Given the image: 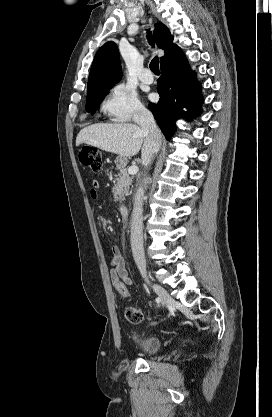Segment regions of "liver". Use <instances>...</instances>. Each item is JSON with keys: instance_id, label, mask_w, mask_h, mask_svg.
I'll list each match as a JSON object with an SVG mask.
<instances>
[{"instance_id": "6515ba94", "label": "liver", "mask_w": 272, "mask_h": 417, "mask_svg": "<svg viewBox=\"0 0 272 417\" xmlns=\"http://www.w3.org/2000/svg\"><path fill=\"white\" fill-rule=\"evenodd\" d=\"M85 143L123 157L136 155L141 147L142 164L147 166L153 157L156 140L140 126L131 123L94 124L80 130L76 146Z\"/></svg>"}]
</instances>
